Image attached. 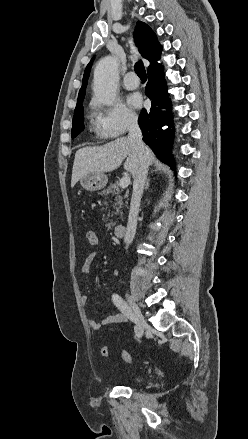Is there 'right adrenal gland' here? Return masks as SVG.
Wrapping results in <instances>:
<instances>
[{"mask_svg":"<svg viewBox=\"0 0 248 439\" xmlns=\"http://www.w3.org/2000/svg\"><path fill=\"white\" fill-rule=\"evenodd\" d=\"M148 187H149V179H147V182H146V189H148Z\"/></svg>","mask_w":248,"mask_h":439,"instance_id":"2a0ac1e0","label":"right adrenal gland"}]
</instances>
